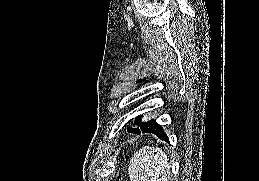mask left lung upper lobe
Instances as JSON below:
<instances>
[{"label":"left lung upper lobe","instance_id":"left-lung-upper-lobe-1","mask_svg":"<svg viewBox=\"0 0 259 181\" xmlns=\"http://www.w3.org/2000/svg\"><path fill=\"white\" fill-rule=\"evenodd\" d=\"M140 119H141V117L138 116V117H136V121H135V123L139 126V128H137V129L128 128L129 132L135 133V134H140L153 123V120L148 121V122H141Z\"/></svg>","mask_w":259,"mask_h":181}]
</instances>
